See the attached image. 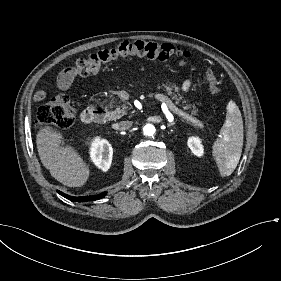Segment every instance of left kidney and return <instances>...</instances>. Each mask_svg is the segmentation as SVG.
<instances>
[{
	"mask_svg": "<svg viewBox=\"0 0 281 281\" xmlns=\"http://www.w3.org/2000/svg\"><path fill=\"white\" fill-rule=\"evenodd\" d=\"M188 147L197 156H200L203 154V148L200 144L199 138L193 137V138L188 139Z\"/></svg>",
	"mask_w": 281,
	"mask_h": 281,
	"instance_id": "1",
	"label": "left kidney"
}]
</instances>
